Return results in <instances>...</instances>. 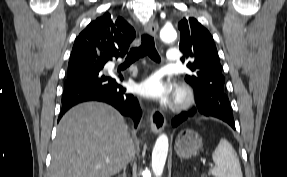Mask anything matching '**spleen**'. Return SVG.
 <instances>
[{
  "instance_id": "1",
  "label": "spleen",
  "mask_w": 287,
  "mask_h": 177,
  "mask_svg": "<svg viewBox=\"0 0 287 177\" xmlns=\"http://www.w3.org/2000/svg\"><path fill=\"white\" fill-rule=\"evenodd\" d=\"M215 166L209 170L214 177H243L238 155L233 146L221 139L212 154Z\"/></svg>"
}]
</instances>
